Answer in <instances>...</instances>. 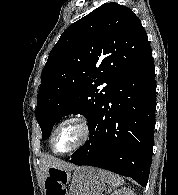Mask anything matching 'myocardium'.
Wrapping results in <instances>:
<instances>
[{"instance_id": "myocardium-1", "label": "myocardium", "mask_w": 178, "mask_h": 195, "mask_svg": "<svg viewBox=\"0 0 178 195\" xmlns=\"http://www.w3.org/2000/svg\"><path fill=\"white\" fill-rule=\"evenodd\" d=\"M67 124H76L77 126L80 127L81 131H82V136L80 138V140L78 141V143L76 145H74L72 148L65 150V151H57L55 149V139H56V135L58 133V131L65 125ZM91 135V128L89 123L87 122V120L82 117V116H72L69 117L65 120H63L53 131V134L51 136V149L53 150L54 153L56 154H68V153H72L78 149H80L82 146H84L87 141L89 140Z\"/></svg>"}]
</instances>
